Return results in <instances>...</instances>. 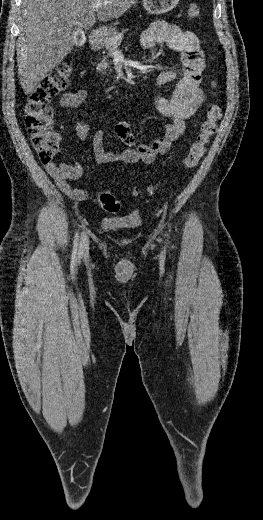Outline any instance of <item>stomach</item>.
Here are the masks:
<instances>
[{
    "label": "stomach",
    "instance_id": "obj_1",
    "mask_svg": "<svg viewBox=\"0 0 263 520\" xmlns=\"http://www.w3.org/2000/svg\"><path fill=\"white\" fill-rule=\"evenodd\" d=\"M179 0H143V7L149 13L153 15L163 14L168 11H171L176 7ZM114 27H105L102 31L103 36L101 39H96L95 43L99 44L103 41V38L111 36L116 31Z\"/></svg>",
    "mask_w": 263,
    "mask_h": 520
}]
</instances>
